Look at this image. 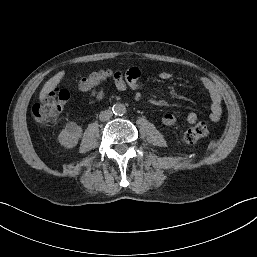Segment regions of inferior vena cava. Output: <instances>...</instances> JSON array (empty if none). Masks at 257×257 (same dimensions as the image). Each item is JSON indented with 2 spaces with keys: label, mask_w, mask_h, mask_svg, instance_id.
<instances>
[{
  "label": "inferior vena cava",
  "mask_w": 257,
  "mask_h": 257,
  "mask_svg": "<svg viewBox=\"0 0 257 257\" xmlns=\"http://www.w3.org/2000/svg\"><path fill=\"white\" fill-rule=\"evenodd\" d=\"M113 113L111 110H104L100 113L99 119L101 121H107L112 117Z\"/></svg>",
  "instance_id": "602c4592"
}]
</instances>
